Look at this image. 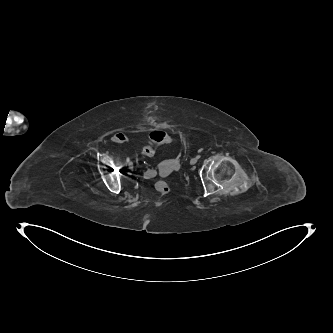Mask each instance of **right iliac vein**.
I'll use <instances>...</instances> for the list:
<instances>
[{"label": "right iliac vein", "mask_w": 333, "mask_h": 333, "mask_svg": "<svg viewBox=\"0 0 333 333\" xmlns=\"http://www.w3.org/2000/svg\"><path fill=\"white\" fill-rule=\"evenodd\" d=\"M129 168H130V169L133 168V163H132V162L129 163Z\"/></svg>", "instance_id": "63e3f726"}]
</instances>
